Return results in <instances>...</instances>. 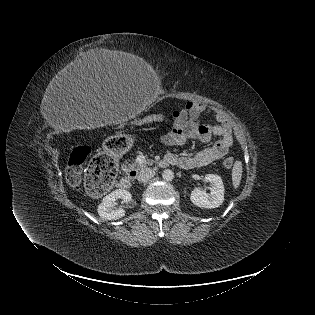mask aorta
I'll return each instance as SVG.
<instances>
[{"label":"aorta","mask_w":315,"mask_h":315,"mask_svg":"<svg viewBox=\"0 0 315 315\" xmlns=\"http://www.w3.org/2000/svg\"><path fill=\"white\" fill-rule=\"evenodd\" d=\"M162 177L166 181H172L174 179V172L170 169H166L163 171Z\"/></svg>","instance_id":"aorta-1"}]
</instances>
